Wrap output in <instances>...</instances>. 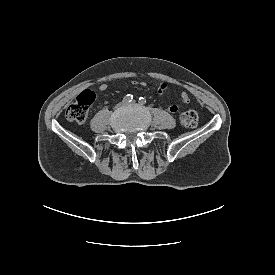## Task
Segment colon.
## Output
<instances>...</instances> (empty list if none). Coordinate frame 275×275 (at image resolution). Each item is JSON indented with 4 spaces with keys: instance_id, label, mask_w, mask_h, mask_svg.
<instances>
[{
    "instance_id": "5ec220e1",
    "label": "colon",
    "mask_w": 275,
    "mask_h": 275,
    "mask_svg": "<svg viewBox=\"0 0 275 275\" xmlns=\"http://www.w3.org/2000/svg\"><path fill=\"white\" fill-rule=\"evenodd\" d=\"M95 99V94L92 90L87 89L80 93L76 101L69 105L66 109V118L69 121L77 124H83L86 121L90 105ZM198 122V114L194 110H188L182 113L179 117V123L186 128H193Z\"/></svg>"
}]
</instances>
